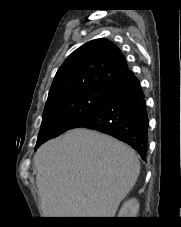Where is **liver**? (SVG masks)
I'll return each instance as SVG.
<instances>
[{
  "mask_svg": "<svg viewBox=\"0 0 181 227\" xmlns=\"http://www.w3.org/2000/svg\"><path fill=\"white\" fill-rule=\"evenodd\" d=\"M34 162L44 217H114L140 173L131 147L85 128L47 141Z\"/></svg>",
  "mask_w": 181,
  "mask_h": 227,
  "instance_id": "obj_1",
  "label": "liver"
}]
</instances>
